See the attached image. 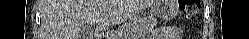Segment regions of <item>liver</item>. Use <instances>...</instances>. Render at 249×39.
I'll use <instances>...</instances> for the list:
<instances>
[{"mask_svg":"<svg viewBox=\"0 0 249 39\" xmlns=\"http://www.w3.org/2000/svg\"><path fill=\"white\" fill-rule=\"evenodd\" d=\"M154 0H44L41 27L44 39H93L96 32L120 24L151 6Z\"/></svg>","mask_w":249,"mask_h":39,"instance_id":"6515ba94","label":"liver"}]
</instances>
